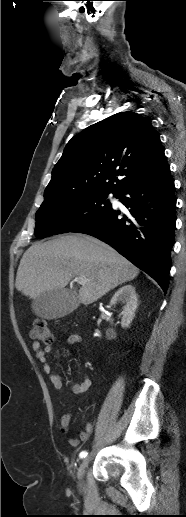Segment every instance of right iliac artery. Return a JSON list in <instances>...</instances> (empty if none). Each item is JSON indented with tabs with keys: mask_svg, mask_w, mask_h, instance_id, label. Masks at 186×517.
<instances>
[{
	"mask_svg": "<svg viewBox=\"0 0 186 517\" xmlns=\"http://www.w3.org/2000/svg\"><path fill=\"white\" fill-rule=\"evenodd\" d=\"M87 454L88 453L86 451H82L79 456H80L81 459H83V458H85L87 456Z\"/></svg>",
	"mask_w": 186,
	"mask_h": 517,
	"instance_id": "obj_1",
	"label": "right iliac artery"
}]
</instances>
